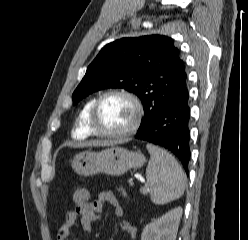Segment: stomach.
Wrapping results in <instances>:
<instances>
[{"instance_id":"stomach-1","label":"stomach","mask_w":248,"mask_h":240,"mask_svg":"<svg viewBox=\"0 0 248 240\" xmlns=\"http://www.w3.org/2000/svg\"><path fill=\"white\" fill-rule=\"evenodd\" d=\"M146 159L140 151H129L113 146L100 152L84 151L71 160V166L77 174L90 176L97 173L119 176L130 169L144 165Z\"/></svg>"}]
</instances>
